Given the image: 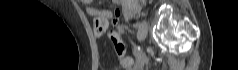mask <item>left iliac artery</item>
I'll return each mask as SVG.
<instances>
[{"label":"left iliac artery","instance_id":"44dca946","mask_svg":"<svg viewBox=\"0 0 238 70\" xmlns=\"http://www.w3.org/2000/svg\"><path fill=\"white\" fill-rule=\"evenodd\" d=\"M133 26H134V28H136V29H137V28H139V27H140V24H139V23H134V25H133Z\"/></svg>","mask_w":238,"mask_h":70}]
</instances>
